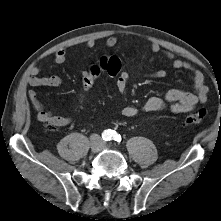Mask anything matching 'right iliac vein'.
Instances as JSON below:
<instances>
[{"label": "right iliac vein", "instance_id": "1", "mask_svg": "<svg viewBox=\"0 0 221 221\" xmlns=\"http://www.w3.org/2000/svg\"><path fill=\"white\" fill-rule=\"evenodd\" d=\"M98 147L95 145V144H92L91 145V151L93 152V153H96V152H98Z\"/></svg>", "mask_w": 221, "mask_h": 221}]
</instances>
